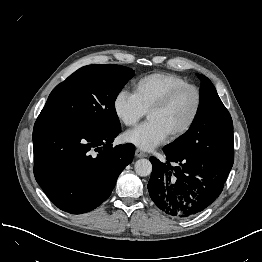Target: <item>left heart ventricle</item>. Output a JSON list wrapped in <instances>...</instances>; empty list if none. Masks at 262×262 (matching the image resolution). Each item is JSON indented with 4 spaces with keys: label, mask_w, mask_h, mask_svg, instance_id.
<instances>
[{
    "label": "left heart ventricle",
    "mask_w": 262,
    "mask_h": 262,
    "mask_svg": "<svg viewBox=\"0 0 262 262\" xmlns=\"http://www.w3.org/2000/svg\"><path fill=\"white\" fill-rule=\"evenodd\" d=\"M195 99L191 91H185L177 96L166 108L150 112L148 120L156 121L168 135L183 127L189 120Z\"/></svg>",
    "instance_id": "obj_1"
}]
</instances>
